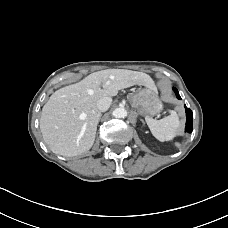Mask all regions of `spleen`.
Listing matches in <instances>:
<instances>
[{"label":"spleen","instance_id":"1","mask_svg":"<svg viewBox=\"0 0 228 228\" xmlns=\"http://www.w3.org/2000/svg\"><path fill=\"white\" fill-rule=\"evenodd\" d=\"M145 120L153 136L162 142L172 140L177 135L180 126L179 117L175 111L160 120L150 117H146Z\"/></svg>","mask_w":228,"mask_h":228}]
</instances>
